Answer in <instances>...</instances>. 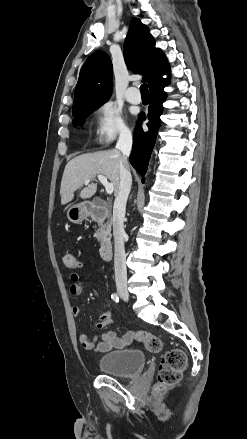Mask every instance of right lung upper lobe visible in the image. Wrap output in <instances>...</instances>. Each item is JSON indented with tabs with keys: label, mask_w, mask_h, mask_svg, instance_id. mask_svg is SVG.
Instances as JSON below:
<instances>
[{
	"label": "right lung upper lobe",
	"mask_w": 247,
	"mask_h": 439,
	"mask_svg": "<svg viewBox=\"0 0 247 439\" xmlns=\"http://www.w3.org/2000/svg\"><path fill=\"white\" fill-rule=\"evenodd\" d=\"M124 56L128 69L143 75V82L150 90L167 84L163 75L170 74V67L161 49L146 25L138 18L131 21L124 44ZM112 93V63L103 51L94 52L83 64L75 89L73 116L107 102Z\"/></svg>",
	"instance_id": "1"
}]
</instances>
